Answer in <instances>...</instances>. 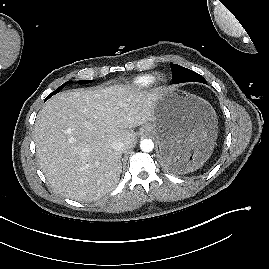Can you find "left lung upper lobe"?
Listing matches in <instances>:
<instances>
[{
    "mask_svg": "<svg viewBox=\"0 0 269 269\" xmlns=\"http://www.w3.org/2000/svg\"><path fill=\"white\" fill-rule=\"evenodd\" d=\"M173 84L184 82L206 83V80L198 73L177 64H170Z\"/></svg>",
    "mask_w": 269,
    "mask_h": 269,
    "instance_id": "1",
    "label": "left lung upper lobe"
}]
</instances>
